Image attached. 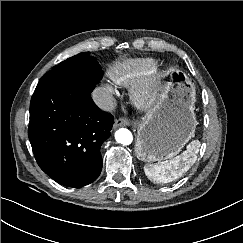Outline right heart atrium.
Returning a JSON list of instances; mask_svg holds the SVG:
<instances>
[{"label": "right heart atrium", "instance_id": "d8ad5b80", "mask_svg": "<svg viewBox=\"0 0 243 243\" xmlns=\"http://www.w3.org/2000/svg\"><path fill=\"white\" fill-rule=\"evenodd\" d=\"M102 104L104 108H110L113 103L115 96L117 95V89L111 83L107 82L102 87Z\"/></svg>", "mask_w": 243, "mask_h": 243}]
</instances>
